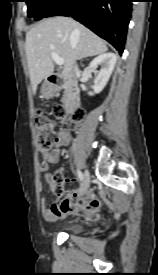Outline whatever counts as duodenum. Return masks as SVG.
I'll return each instance as SVG.
<instances>
[{"label": "duodenum", "mask_w": 158, "mask_h": 275, "mask_svg": "<svg viewBox=\"0 0 158 275\" xmlns=\"http://www.w3.org/2000/svg\"><path fill=\"white\" fill-rule=\"evenodd\" d=\"M46 93L53 96L56 90L65 89L66 109L68 113H75L80 107V91L75 81L65 79L60 73H53L48 77Z\"/></svg>", "instance_id": "410a0bca"}]
</instances>
